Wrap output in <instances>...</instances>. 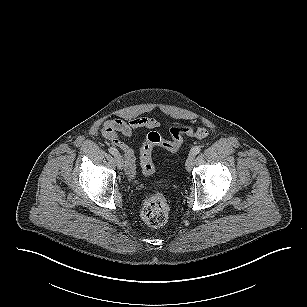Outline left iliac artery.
Masks as SVG:
<instances>
[{"instance_id":"left-iliac-artery-1","label":"left iliac artery","mask_w":307,"mask_h":307,"mask_svg":"<svg viewBox=\"0 0 307 307\" xmlns=\"http://www.w3.org/2000/svg\"><path fill=\"white\" fill-rule=\"evenodd\" d=\"M201 151L200 146H195L191 149L190 154L197 155Z\"/></svg>"}]
</instances>
